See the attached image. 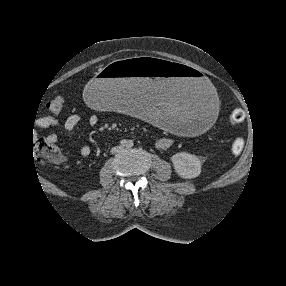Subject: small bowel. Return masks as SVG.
Wrapping results in <instances>:
<instances>
[{"mask_svg":"<svg viewBox=\"0 0 286 286\" xmlns=\"http://www.w3.org/2000/svg\"><path fill=\"white\" fill-rule=\"evenodd\" d=\"M81 118L77 115H71L67 117L63 122L53 117H44L40 120L39 128L44 129L48 127H63L66 130H72L78 124H80ZM89 124L94 125L97 123V118L91 116L88 119ZM50 139L53 141L58 140L57 135H51ZM173 139L171 137H162L157 141V147L160 149H168L172 146ZM80 153L83 157H88L91 154V148L88 145H84L80 149Z\"/></svg>","mask_w":286,"mask_h":286,"instance_id":"small-bowel-1","label":"small bowel"}]
</instances>
